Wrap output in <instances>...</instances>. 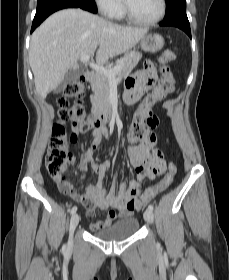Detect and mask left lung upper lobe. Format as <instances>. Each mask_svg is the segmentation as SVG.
Here are the masks:
<instances>
[{
    "label": "left lung upper lobe",
    "instance_id": "left-lung-upper-lobe-1",
    "mask_svg": "<svg viewBox=\"0 0 229 280\" xmlns=\"http://www.w3.org/2000/svg\"><path fill=\"white\" fill-rule=\"evenodd\" d=\"M165 1H166L165 19L179 13H186V0H165Z\"/></svg>",
    "mask_w": 229,
    "mask_h": 280
}]
</instances>
